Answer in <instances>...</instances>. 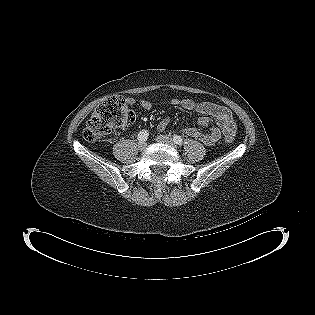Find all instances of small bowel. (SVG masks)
Listing matches in <instances>:
<instances>
[{"label": "small bowel", "mask_w": 315, "mask_h": 315, "mask_svg": "<svg viewBox=\"0 0 315 315\" xmlns=\"http://www.w3.org/2000/svg\"><path fill=\"white\" fill-rule=\"evenodd\" d=\"M127 103L131 106L135 103V99L130 97L127 99ZM139 104L144 110L152 109V102L146 98L141 99ZM167 104L171 106H180L186 110H192L199 113L201 117L198 120V124L202 127L210 126L212 122H215V125L211 126L208 132H202L195 127H187L183 129V132L186 135L196 138L206 145H213L216 143L221 138L222 134L234 137L236 133V122L232 112L223 106L191 98H172ZM169 123L170 119L164 118L158 124V128L163 130Z\"/></svg>", "instance_id": "1"}]
</instances>
